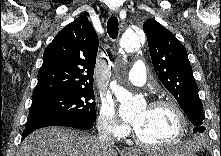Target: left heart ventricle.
I'll return each instance as SVG.
<instances>
[{
  "label": "left heart ventricle",
  "mask_w": 221,
  "mask_h": 156,
  "mask_svg": "<svg viewBox=\"0 0 221 156\" xmlns=\"http://www.w3.org/2000/svg\"><path fill=\"white\" fill-rule=\"evenodd\" d=\"M139 136L150 143H165L172 140L179 131V120L169 107L140 110L132 121Z\"/></svg>",
  "instance_id": "left-heart-ventricle-1"
}]
</instances>
